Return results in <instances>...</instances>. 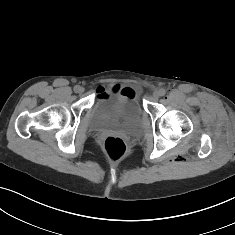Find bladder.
<instances>
[{
	"label": "bladder",
	"instance_id": "31cf9c89",
	"mask_svg": "<svg viewBox=\"0 0 235 235\" xmlns=\"http://www.w3.org/2000/svg\"><path fill=\"white\" fill-rule=\"evenodd\" d=\"M143 121V110L135 95H126L117 89H109L98 96L91 108L90 126L93 130H123L133 133Z\"/></svg>",
	"mask_w": 235,
	"mask_h": 235
}]
</instances>
